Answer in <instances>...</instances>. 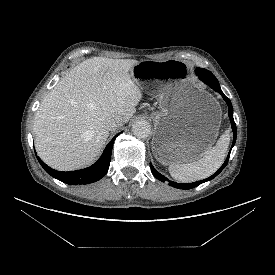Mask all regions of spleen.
<instances>
[{
  "mask_svg": "<svg viewBox=\"0 0 275 275\" xmlns=\"http://www.w3.org/2000/svg\"><path fill=\"white\" fill-rule=\"evenodd\" d=\"M229 131H225L206 154L190 163H173L169 166L170 175L180 182H194L212 175L223 163L229 146Z\"/></svg>",
  "mask_w": 275,
  "mask_h": 275,
  "instance_id": "spleen-1",
  "label": "spleen"
}]
</instances>
